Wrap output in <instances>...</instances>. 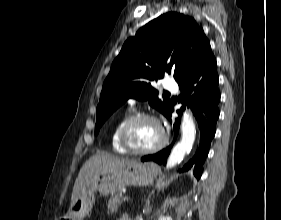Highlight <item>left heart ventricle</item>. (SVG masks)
Instances as JSON below:
<instances>
[{"label":"left heart ventricle","instance_id":"obj_1","mask_svg":"<svg viewBox=\"0 0 281 220\" xmlns=\"http://www.w3.org/2000/svg\"><path fill=\"white\" fill-rule=\"evenodd\" d=\"M130 138L135 147L148 149L156 146L161 141L162 133L157 123L145 120L133 127Z\"/></svg>","mask_w":281,"mask_h":220}]
</instances>
